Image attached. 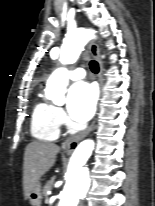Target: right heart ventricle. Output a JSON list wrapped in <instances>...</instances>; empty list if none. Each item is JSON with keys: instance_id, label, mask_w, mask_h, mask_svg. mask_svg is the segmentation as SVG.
<instances>
[{"instance_id": "1", "label": "right heart ventricle", "mask_w": 155, "mask_h": 206, "mask_svg": "<svg viewBox=\"0 0 155 206\" xmlns=\"http://www.w3.org/2000/svg\"><path fill=\"white\" fill-rule=\"evenodd\" d=\"M31 132L36 139L43 141H54L59 137L60 125L56 120L53 105L44 100L35 104L31 117Z\"/></svg>"}]
</instances>
